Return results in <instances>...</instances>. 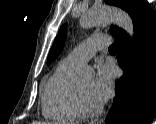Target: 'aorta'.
Wrapping results in <instances>:
<instances>
[{
    "instance_id": "1",
    "label": "aorta",
    "mask_w": 156,
    "mask_h": 124,
    "mask_svg": "<svg viewBox=\"0 0 156 124\" xmlns=\"http://www.w3.org/2000/svg\"><path fill=\"white\" fill-rule=\"evenodd\" d=\"M105 22L115 23L118 27L126 31L130 38L134 36L133 21L128 13L121 9L103 7L99 9H91L81 18V25L84 28L93 27ZM92 74V69L89 67H83L79 70L80 76H88Z\"/></svg>"
}]
</instances>
